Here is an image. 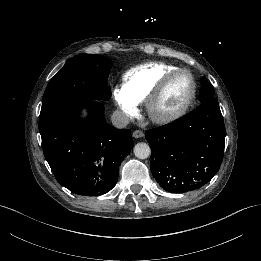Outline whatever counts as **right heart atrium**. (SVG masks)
Listing matches in <instances>:
<instances>
[{
    "label": "right heart atrium",
    "instance_id": "d8ad5b80",
    "mask_svg": "<svg viewBox=\"0 0 261 261\" xmlns=\"http://www.w3.org/2000/svg\"><path fill=\"white\" fill-rule=\"evenodd\" d=\"M113 98L127 121H132L139 115L137 103L127 94L123 88H116L113 91Z\"/></svg>",
    "mask_w": 261,
    "mask_h": 261
}]
</instances>
